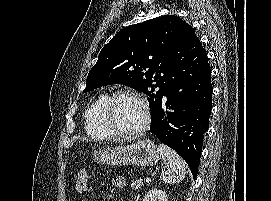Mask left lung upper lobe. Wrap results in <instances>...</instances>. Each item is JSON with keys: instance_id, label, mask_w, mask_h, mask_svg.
<instances>
[{"instance_id": "5c2ea615", "label": "left lung upper lobe", "mask_w": 271, "mask_h": 201, "mask_svg": "<svg viewBox=\"0 0 271 201\" xmlns=\"http://www.w3.org/2000/svg\"><path fill=\"white\" fill-rule=\"evenodd\" d=\"M183 28L193 31L181 18L164 15L121 30L102 48L83 92L111 84L141 91L149 96L152 123L172 68L173 49Z\"/></svg>"}]
</instances>
